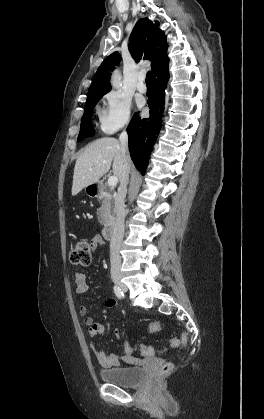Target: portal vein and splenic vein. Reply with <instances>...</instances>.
<instances>
[{"instance_id":"portal-vein-and-splenic-vein-1","label":"portal vein and splenic vein","mask_w":264,"mask_h":419,"mask_svg":"<svg viewBox=\"0 0 264 419\" xmlns=\"http://www.w3.org/2000/svg\"><path fill=\"white\" fill-rule=\"evenodd\" d=\"M90 170H92V169H90ZM117 182H118V178L116 176H111L108 179V185L112 188L116 186Z\"/></svg>"}]
</instances>
